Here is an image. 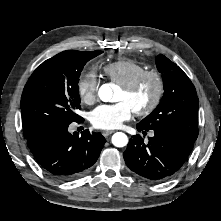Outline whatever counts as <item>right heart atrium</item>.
<instances>
[{"instance_id":"right-heart-atrium-1","label":"right heart atrium","mask_w":221,"mask_h":221,"mask_svg":"<svg viewBox=\"0 0 221 221\" xmlns=\"http://www.w3.org/2000/svg\"><path fill=\"white\" fill-rule=\"evenodd\" d=\"M77 93L85 104H92L97 99L98 79L93 71L83 73L77 80Z\"/></svg>"}]
</instances>
